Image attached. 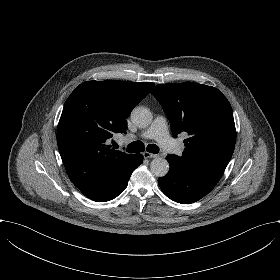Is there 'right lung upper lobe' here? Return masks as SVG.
I'll return each instance as SVG.
<instances>
[{"mask_svg": "<svg viewBox=\"0 0 280 280\" xmlns=\"http://www.w3.org/2000/svg\"><path fill=\"white\" fill-rule=\"evenodd\" d=\"M153 86L88 81L68 97L57 127V144L70 180L91 200H98L112 181L133 166L137 154L113 150L105 143L116 133H126L127 117Z\"/></svg>", "mask_w": 280, "mask_h": 280, "instance_id": "cb5924a9", "label": "right lung upper lobe"}]
</instances>
